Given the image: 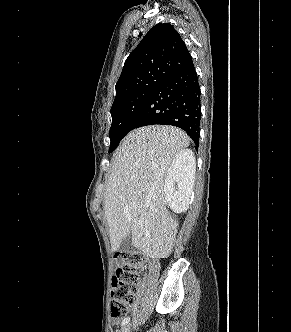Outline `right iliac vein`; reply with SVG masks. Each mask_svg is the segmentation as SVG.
I'll list each match as a JSON object with an SVG mask.
<instances>
[{
    "mask_svg": "<svg viewBox=\"0 0 291 332\" xmlns=\"http://www.w3.org/2000/svg\"><path fill=\"white\" fill-rule=\"evenodd\" d=\"M129 329H130V326L129 325H126L124 326L120 332H129Z\"/></svg>",
    "mask_w": 291,
    "mask_h": 332,
    "instance_id": "right-iliac-vein-1",
    "label": "right iliac vein"
}]
</instances>
